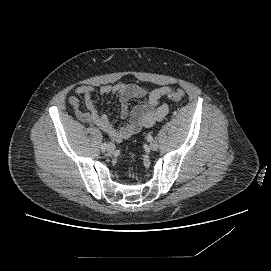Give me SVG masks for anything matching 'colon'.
<instances>
[{
  "instance_id": "5ec220e1",
  "label": "colon",
  "mask_w": 271,
  "mask_h": 271,
  "mask_svg": "<svg viewBox=\"0 0 271 271\" xmlns=\"http://www.w3.org/2000/svg\"><path fill=\"white\" fill-rule=\"evenodd\" d=\"M184 91L174 90L168 93V98L172 101H179L184 97Z\"/></svg>"
}]
</instances>
